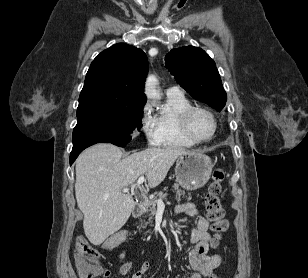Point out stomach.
Listing matches in <instances>:
<instances>
[{"instance_id":"stomach-1","label":"stomach","mask_w":308,"mask_h":278,"mask_svg":"<svg viewBox=\"0 0 308 278\" xmlns=\"http://www.w3.org/2000/svg\"><path fill=\"white\" fill-rule=\"evenodd\" d=\"M212 168L210 157L200 152H188L180 156L176 163V180L186 190H197L208 182Z\"/></svg>"}]
</instances>
